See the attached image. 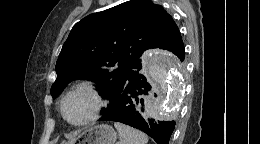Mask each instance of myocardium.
Here are the masks:
<instances>
[{
  "label": "myocardium",
  "mask_w": 260,
  "mask_h": 144,
  "mask_svg": "<svg viewBox=\"0 0 260 144\" xmlns=\"http://www.w3.org/2000/svg\"><path fill=\"white\" fill-rule=\"evenodd\" d=\"M78 91H86L90 94V96L93 98L94 100V107L93 110L91 112V114L83 121L81 122H71L70 120L67 119L65 112H64V105L65 102L67 101V99L73 95L74 93L78 92ZM104 106V102L103 99L100 95V92L98 91V89L96 88V86L91 83V82H87V81H83V82H79L76 85H74L61 99L60 102V112H61V116L62 118L70 125L72 126H84L87 125L91 122H93L100 114L102 108Z\"/></svg>",
  "instance_id": "f54148a6"
}]
</instances>
